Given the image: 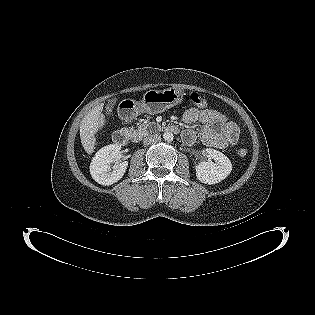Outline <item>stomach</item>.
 Here are the masks:
<instances>
[{
  "label": "stomach",
  "mask_w": 315,
  "mask_h": 315,
  "mask_svg": "<svg viewBox=\"0 0 315 315\" xmlns=\"http://www.w3.org/2000/svg\"><path fill=\"white\" fill-rule=\"evenodd\" d=\"M183 99V93L177 88H168L163 91H149L143 101L126 99L118 108L117 115L124 122L139 121L146 112L156 114L171 108Z\"/></svg>",
  "instance_id": "0dacf381"
}]
</instances>
